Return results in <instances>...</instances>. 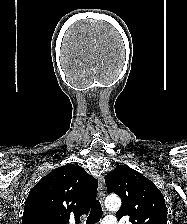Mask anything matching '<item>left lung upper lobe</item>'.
<instances>
[{"label":"left lung upper lobe","instance_id":"obj_1","mask_svg":"<svg viewBox=\"0 0 187 224\" xmlns=\"http://www.w3.org/2000/svg\"><path fill=\"white\" fill-rule=\"evenodd\" d=\"M108 193H116L122 206L116 216H129L132 224H167V208L160 190L136 170L119 165L105 177Z\"/></svg>","mask_w":187,"mask_h":224}]
</instances>
